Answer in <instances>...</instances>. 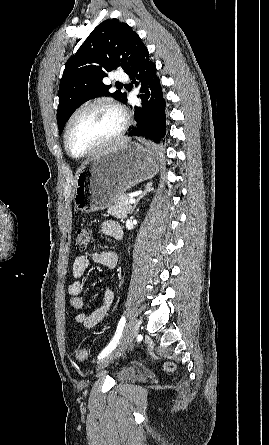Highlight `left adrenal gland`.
I'll list each match as a JSON object with an SVG mask.
<instances>
[{
	"label": "left adrenal gland",
	"instance_id": "1",
	"mask_svg": "<svg viewBox=\"0 0 269 445\" xmlns=\"http://www.w3.org/2000/svg\"><path fill=\"white\" fill-rule=\"evenodd\" d=\"M152 184H153L152 182H148V183L146 184L144 192H143L142 194H140V196L137 198V200H136V202H135V204H134V206H133V208H132L131 213H133V211H134V209L136 208L138 202H139V201H140V200H141L147 193H149V192H151V191L154 190V188H152Z\"/></svg>",
	"mask_w": 269,
	"mask_h": 445
}]
</instances>
